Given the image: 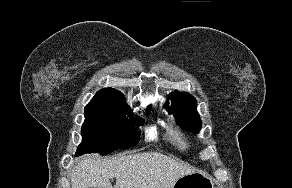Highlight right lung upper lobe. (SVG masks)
Masks as SVG:
<instances>
[{
    "instance_id": "right-lung-upper-lobe-1",
    "label": "right lung upper lobe",
    "mask_w": 292,
    "mask_h": 188,
    "mask_svg": "<svg viewBox=\"0 0 292 188\" xmlns=\"http://www.w3.org/2000/svg\"><path fill=\"white\" fill-rule=\"evenodd\" d=\"M100 91H110V92H118V93H121V92H119V91H117V90H115L113 88H106V89H102Z\"/></svg>"
}]
</instances>
